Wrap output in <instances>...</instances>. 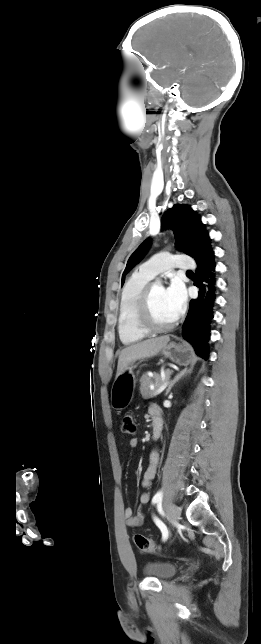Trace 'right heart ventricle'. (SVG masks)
Segmentation results:
<instances>
[{
  "mask_svg": "<svg viewBox=\"0 0 261 644\" xmlns=\"http://www.w3.org/2000/svg\"><path fill=\"white\" fill-rule=\"evenodd\" d=\"M151 277L140 271L134 272L124 284L119 303L118 334L121 342L131 345L143 340L148 334L136 322V308L139 296Z\"/></svg>",
  "mask_w": 261,
  "mask_h": 644,
  "instance_id": "e07e8e85",
  "label": "right heart ventricle"
}]
</instances>
